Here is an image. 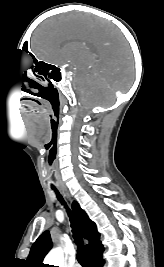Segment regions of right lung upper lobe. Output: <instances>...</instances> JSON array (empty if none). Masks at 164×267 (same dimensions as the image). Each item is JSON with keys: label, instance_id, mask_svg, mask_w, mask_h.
Wrapping results in <instances>:
<instances>
[{"label": "right lung upper lobe", "instance_id": "obj_1", "mask_svg": "<svg viewBox=\"0 0 164 267\" xmlns=\"http://www.w3.org/2000/svg\"><path fill=\"white\" fill-rule=\"evenodd\" d=\"M72 209L80 225L82 234L89 244L85 246L87 258L93 254L104 250L102 243L99 241L100 233L96 225L92 222L87 214L80 208L77 202H73ZM52 248V241L49 231L43 232L33 244L29 253L27 262L30 267H43V259L48 251Z\"/></svg>", "mask_w": 164, "mask_h": 267}]
</instances>
